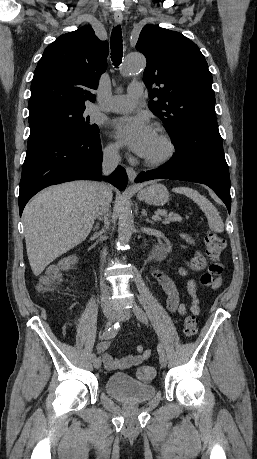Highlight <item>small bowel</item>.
<instances>
[{
  "instance_id": "obj_1",
  "label": "small bowel",
  "mask_w": 257,
  "mask_h": 459,
  "mask_svg": "<svg viewBox=\"0 0 257 459\" xmlns=\"http://www.w3.org/2000/svg\"><path fill=\"white\" fill-rule=\"evenodd\" d=\"M181 238L189 245H194L193 238L183 233ZM206 266V259L201 253H197L185 266L179 269V274L187 279L186 288L188 294L191 296V306L190 310L193 314H200L199 299L197 297V284L194 279L189 277V273L198 272L204 269ZM153 277H155L166 295V306L167 309L172 313H177L179 315H184L186 313V306L181 302L179 292L173 282V280L164 272L154 269L151 271ZM221 285V279L218 278L212 285V289H218ZM110 342L108 340L101 342L97 346V350L102 355V359L105 365V368L108 371H114L117 369H128L132 366L140 365L143 361L147 360L150 355V349L145 348L143 345L136 346L135 355H128L119 359H114L108 352Z\"/></svg>"
}]
</instances>
